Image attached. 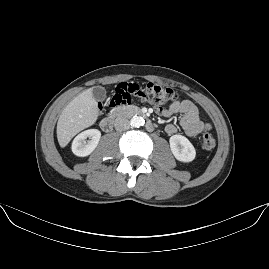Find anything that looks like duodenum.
Returning <instances> with one entry per match:
<instances>
[{
	"label": "duodenum",
	"mask_w": 269,
	"mask_h": 269,
	"mask_svg": "<svg viewBox=\"0 0 269 269\" xmlns=\"http://www.w3.org/2000/svg\"><path fill=\"white\" fill-rule=\"evenodd\" d=\"M124 115H136L143 117L145 119V126L148 131H153L155 126L153 122L147 118V115L145 112L140 110L137 107H124V108H119L113 111L112 113L106 115L100 122V126L103 131L109 132L112 130L115 121Z\"/></svg>",
	"instance_id": "410a0bca"
}]
</instances>
